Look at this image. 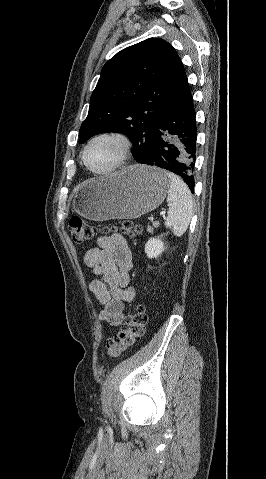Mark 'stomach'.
<instances>
[{"instance_id": "1", "label": "stomach", "mask_w": 266, "mask_h": 479, "mask_svg": "<svg viewBox=\"0 0 266 479\" xmlns=\"http://www.w3.org/2000/svg\"><path fill=\"white\" fill-rule=\"evenodd\" d=\"M169 186L166 171L138 164L82 183L74 191L73 205L78 214L93 221L135 219L156 209Z\"/></svg>"}]
</instances>
